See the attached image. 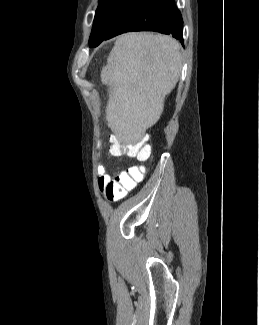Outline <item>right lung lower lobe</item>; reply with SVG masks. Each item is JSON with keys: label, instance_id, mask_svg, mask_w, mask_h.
Wrapping results in <instances>:
<instances>
[{"label": "right lung lower lobe", "instance_id": "1", "mask_svg": "<svg viewBox=\"0 0 259 325\" xmlns=\"http://www.w3.org/2000/svg\"><path fill=\"white\" fill-rule=\"evenodd\" d=\"M183 21L174 0H133L104 40L129 31H156L182 38Z\"/></svg>", "mask_w": 259, "mask_h": 325}]
</instances>
